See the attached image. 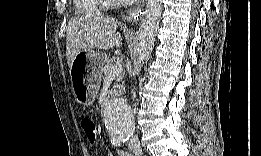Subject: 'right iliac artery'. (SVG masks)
Here are the masks:
<instances>
[{
	"label": "right iliac artery",
	"instance_id": "right-iliac-artery-1",
	"mask_svg": "<svg viewBox=\"0 0 261 156\" xmlns=\"http://www.w3.org/2000/svg\"><path fill=\"white\" fill-rule=\"evenodd\" d=\"M125 140L122 139H113L111 142L113 143V145L115 146H120L122 144V142H124Z\"/></svg>",
	"mask_w": 261,
	"mask_h": 156
}]
</instances>
